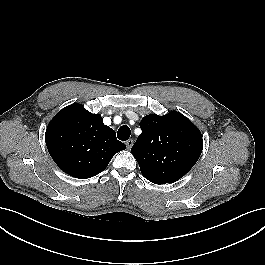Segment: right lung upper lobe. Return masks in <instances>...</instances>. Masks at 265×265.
Segmentation results:
<instances>
[{
	"label": "right lung upper lobe",
	"mask_w": 265,
	"mask_h": 265,
	"mask_svg": "<svg viewBox=\"0 0 265 265\" xmlns=\"http://www.w3.org/2000/svg\"><path fill=\"white\" fill-rule=\"evenodd\" d=\"M45 140L49 154L65 173L87 179L102 172L126 146L105 126L100 114L81 104L63 108L49 122Z\"/></svg>",
	"instance_id": "cb5924a9"
}]
</instances>
